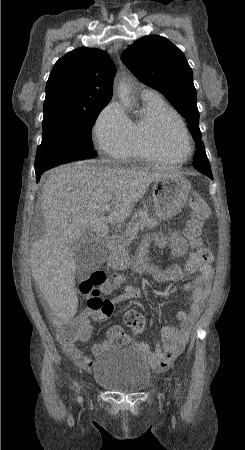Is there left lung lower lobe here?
Returning a JSON list of instances; mask_svg holds the SVG:
<instances>
[{
    "mask_svg": "<svg viewBox=\"0 0 245 450\" xmlns=\"http://www.w3.org/2000/svg\"><path fill=\"white\" fill-rule=\"evenodd\" d=\"M196 148H197L196 153L198 155H201V157H204L205 156V150H204L203 145L202 146H197ZM202 173L207 175L209 178L213 179L211 171H203Z\"/></svg>",
    "mask_w": 245,
    "mask_h": 450,
    "instance_id": "0a47b994",
    "label": "left lung lower lobe"
}]
</instances>
